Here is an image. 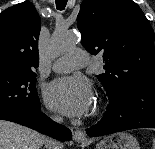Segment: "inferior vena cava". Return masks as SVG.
Here are the masks:
<instances>
[{"label": "inferior vena cava", "instance_id": "obj_1", "mask_svg": "<svg viewBox=\"0 0 155 149\" xmlns=\"http://www.w3.org/2000/svg\"><path fill=\"white\" fill-rule=\"evenodd\" d=\"M56 122L61 123L63 119L59 116L53 118ZM45 147L46 149H61V144L52 138L45 139Z\"/></svg>", "mask_w": 155, "mask_h": 149}]
</instances>
